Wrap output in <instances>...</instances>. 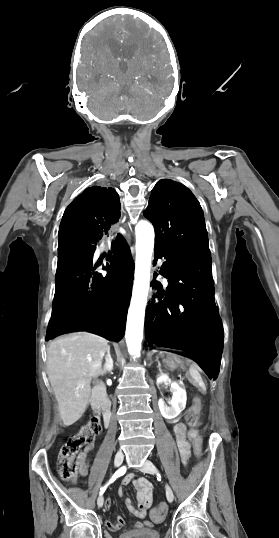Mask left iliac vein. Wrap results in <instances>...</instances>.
I'll use <instances>...</instances> for the list:
<instances>
[{
    "label": "left iliac vein",
    "instance_id": "4c4485c4",
    "mask_svg": "<svg viewBox=\"0 0 279 538\" xmlns=\"http://www.w3.org/2000/svg\"><path fill=\"white\" fill-rule=\"evenodd\" d=\"M140 470H141L142 472H144V473H150V474H155V473H157V470H156L154 464H153L151 461H149V460H146V461L144 462V464H143V466L140 468ZM165 488H166V497H167V500H168L169 502H172L173 499H174L173 491H172L171 487H170L168 484H166Z\"/></svg>",
    "mask_w": 279,
    "mask_h": 538
}]
</instances>
